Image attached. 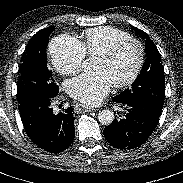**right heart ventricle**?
Returning <instances> with one entry per match:
<instances>
[{
	"label": "right heart ventricle",
	"instance_id": "e07e8e85",
	"mask_svg": "<svg viewBox=\"0 0 183 183\" xmlns=\"http://www.w3.org/2000/svg\"><path fill=\"white\" fill-rule=\"evenodd\" d=\"M130 37L131 36L123 30L103 26L86 30L80 44L85 55L96 56L115 42Z\"/></svg>",
	"mask_w": 183,
	"mask_h": 183
}]
</instances>
